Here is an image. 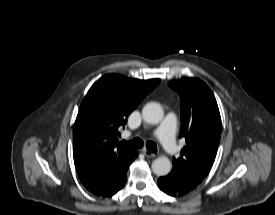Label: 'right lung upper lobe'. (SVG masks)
Instances as JSON below:
<instances>
[{
  "label": "right lung upper lobe",
  "instance_id": "1",
  "mask_svg": "<svg viewBox=\"0 0 275 215\" xmlns=\"http://www.w3.org/2000/svg\"><path fill=\"white\" fill-rule=\"evenodd\" d=\"M159 82L160 79L107 74L93 84L80 105L73 131L74 162L79 176L134 151L119 142L118 130Z\"/></svg>",
  "mask_w": 275,
  "mask_h": 215
}]
</instances>
